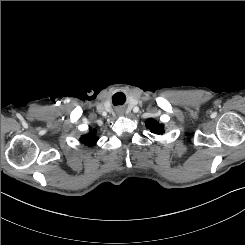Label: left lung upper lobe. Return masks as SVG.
Instances as JSON below:
<instances>
[{
    "label": "left lung upper lobe",
    "mask_w": 245,
    "mask_h": 245,
    "mask_svg": "<svg viewBox=\"0 0 245 245\" xmlns=\"http://www.w3.org/2000/svg\"><path fill=\"white\" fill-rule=\"evenodd\" d=\"M146 127L155 134H163L164 133V125L159 124L157 121L154 119H148L146 122Z\"/></svg>",
    "instance_id": "5c2ea615"
}]
</instances>
